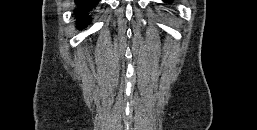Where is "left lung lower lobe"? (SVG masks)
<instances>
[{
  "instance_id": "1",
  "label": "left lung lower lobe",
  "mask_w": 257,
  "mask_h": 130,
  "mask_svg": "<svg viewBox=\"0 0 257 130\" xmlns=\"http://www.w3.org/2000/svg\"><path fill=\"white\" fill-rule=\"evenodd\" d=\"M165 2H168V3H170V2H171V0H165Z\"/></svg>"
}]
</instances>
